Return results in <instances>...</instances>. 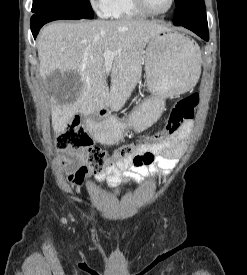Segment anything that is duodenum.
<instances>
[{
  "instance_id": "1",
  "label": "duodenum",
  "mask_w": 247,
  "mask_h": 275,
  "mask_svg": "<svg viewBox=\"0 0 247 275\" xmlns=\"http://www.w3.org/2000/svg\"><path fill=\"white\" fill-rule=\"evenodd\" d=\"M110 108V102L109 100H106L104 106H103V111L107 112Z\"/></svg>"
}]
</instances>
